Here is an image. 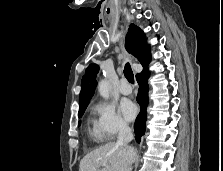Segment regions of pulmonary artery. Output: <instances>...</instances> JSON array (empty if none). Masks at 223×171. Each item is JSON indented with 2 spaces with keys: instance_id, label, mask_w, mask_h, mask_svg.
I'll use <instances>...</instances> for the list:
<instances>
[{
  "instance_id": "pulmonary-artery-1",
  "label": "pulmonary artery",
  "mask_w": 223,
  "mask_h": 171,
  "mask_svg": "<svg viewBox=\"0 0 223 171\" xmlns=\"http://www.w3.org/2000/svg\"><path fill=\"white\" fill-rule=\"evenodd\" d=\"M119 91L123 95H129L132 92V87L129 85L126 79H122L119 86Z\"/></svg>"
}]
</instances>
